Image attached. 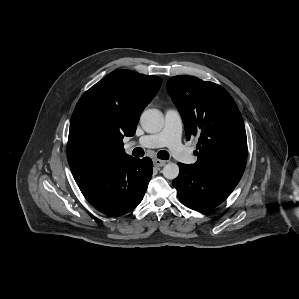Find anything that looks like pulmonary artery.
Here are the masks:
<instances>
[{
  "label": "pulmonary artery",
  "mask_w": 299,
  "mask_h": 299,
  "mask_svg": "<svg viewBox=\"0 0 299 299\" xmlns=\"http://www.w3.org/2000/svg\"><path fill=\"white\" fill-rule=\"evenodd\" d=\"M182 118L176 108L165 111L163 129L155 134L145 135L136 141V144L146 148L168 147L175 158L183 163L190 164L195 158L181 143ZM134 144V143H133ZM132 144V145H133Z\"/></svg>",
  "instance_id": "obj_1"
}]
</instances>
